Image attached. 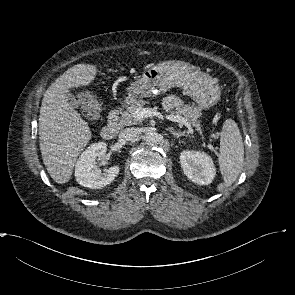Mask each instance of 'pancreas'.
Returning <instances> with one entry per match:
<instances>
[{
    "label": "pancreas",
    "mask_w": 295,
    "mask_h": 295,
    "mask_svg": "<svg viewBox=\"0 0 295 295\" xmlns=\"http://www.w3.org/2000/svg\"><path fill=\"white\" fill-rule=\"evenodd\" d=\"M148 103L149 101H144L142 99L135 100L132 103H130L125 109V111L121 113V117L119 118V124L121 126L139 124L140 120L136 118L135 111L138 108H142L144 105ZM175 113L183 116V118H185L189 123H192L193 126L199 125L198 118L201 114L197 108L191 106L190 104H186L182 107H177Z\"/></svg>",
    "instance_id": "pancreas-1"
}]
</instances>
